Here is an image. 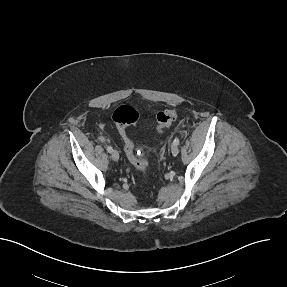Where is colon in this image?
<instances>
[{"instance_id": "5ec220e1", "label": "colon", "mask_w": 287, "mask_h": 287, "mask_svg": "<svg viewBox=\"0 0 287 287\" xmlns=\"http://www.w3.org/2000/svg\"><path fill=\"white\" fill-rule=\"evenodd\" d=\"M177 116L178 112L176 109L160 111L156 115V131L160 133L165 130L177 119ZM113 120L116 124L129 160L137 170L145 173L148 169V163L143 156L138 154L132 141L127 135V129L137 124L139 113L131 106L122 105L114 111Z\"/></svg>"}]
</instances>
